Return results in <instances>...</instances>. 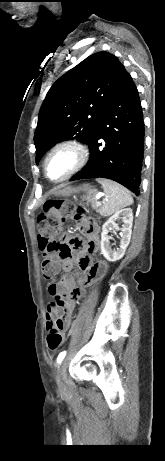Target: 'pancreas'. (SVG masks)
I'll return each instance as SVG.
<instances>
[{
  "label": "pancreas",
  "instance_id": "pancreas-1",
  "mask_svg": "<svg viewBox=\"0 0 165 461\" xmlns=\"http://www.w3.org/2000/svg\"><path fill=\"white\" fill-rule=\"evenodd\" d=\"M86 200H87V203H86L87 205H89V203H90L93 209H96L97 211L100 210V209H98V205L96 204V200H95L94 195L87 196Z\"/></svg>",
  "mask_w": 165,
  "mask_h": 461
}]
</instances>
